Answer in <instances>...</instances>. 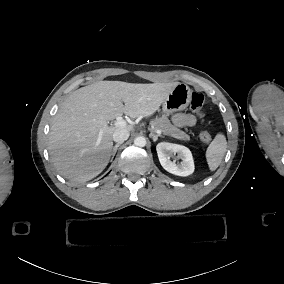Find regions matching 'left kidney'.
<instances>
[{
	"mask_svg": "<svg viewBox=\"0 0 284 284\" xmlns=\"http://www.w3.org/2000/svg\"><path fill=\"white\" fill-rule=\"evenodd\" d=\"M159 161L162 167L175 175L188 176L194 172V161L191 151L182 145L161 142L156 146ZM173 153H178L182 159L180 164L170 160Z\"/></svg>",
	"mask_w": 284,
	"mask_h": 284,
	"instance_id": "5707ae66",
	"label": "left kidney"
}]
</instances>
